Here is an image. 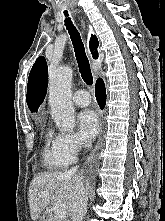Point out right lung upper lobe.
Masks as SVG:
<instances>
[{
	"instance_id": "cb5924a9",
	"label": "right lung upper lobe",
	"mask_w": 165,
	"mask_h": 221,
	"mask_svg": "<svg viewBox=\"0 0 165 221\" xmlns=\"http://www.w3.org/2000/svg\"><path fill=\"white\" fill-rule=\"evenodd\" d=\"M98 47V40L96 36H91L90 50L93 58H98V53L93 50ZM48 70L47 63L43 56H40L34 63L28 78L27 85V105L31 112H37L39 106L42 104L47 90Z\"/></svg>"
}]
</instances>
